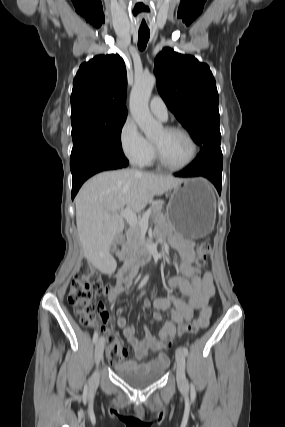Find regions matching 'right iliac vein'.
Here are the masks:
<instances>
[{
  "instance_id": "63e3f726",
  "label": "right iliac vein",
  "mask_w": 285,
  "mask_h": 427,
  "mask_svg": "<svg viewBox=\"0 0 285 427\" xmlns=\"http://www.w3.org/2000/svg\"><path fill=\"white\" fill-rule=\"evenodd\" d=\"M103 351H104V338L100 337L95 346V361H96L97 367L99 366V363L103 358ZM97 379H98V370H96V372L94 373L92 382L95 383Z\"/></svg>"
}]
</instances>
